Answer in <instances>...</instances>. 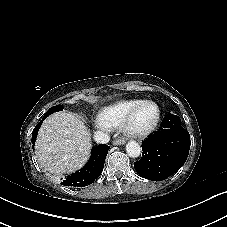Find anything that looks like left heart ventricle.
<instances>
[{"mask_svg": "<svg viewBox=\"0 0 227 227\" xmlns=\"http://www.w3.org/2000/svg\"><path fill=\"white\" fill-rule=\"evenodd\" d=\"M157 109L154 105L145 104L139 108L132 120L134 128L143 129L150 126L155 120Z\"/></svg>", "mask_w": 227, "mask_h": 227, "instance_id": "left-heart-ventricle-1", "label": "left heart ventricle"}]
</instances>
